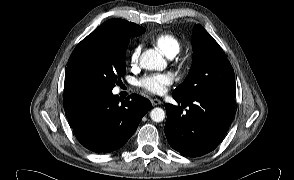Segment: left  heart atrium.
I'll return each instance as SVG.
<instances>
[{"mask_svg": "<svg viewBox=\"0 0 294 180\" xmlns=\"http://www.w3.org/2000/svg\"><path fill=\"white\" fill-rule=\"evenodd\" d=\"M172 83V77L169 74H152L139 79L138 86L152 94H162L166 91L168 85Z\"/></svg>", "mask_w": 294, "mask_h": 180, "instance_id": "1", "label": "left heart atrium"}]
</instances>
